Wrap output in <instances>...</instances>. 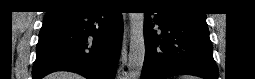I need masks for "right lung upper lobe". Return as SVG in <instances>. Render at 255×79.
Wrapping results in <instances>:
<instances>
[{
    "instance_id": "1",
    "label": "right lung upper lobe",
    "mask_w": 255,
    "mask_h": 79,
    "mask_svg": "<svg viewBox=\"0 0 255 79\" xmlns=\"http://www.w3.org/2000/svg\"><path fill=\"white\" fill-rule=\"evenodd\" d=\"M98 5L85 3L83 1H72V0H63V1H55L50 7L49 13L58 12L65 9H74V8H94Z\"/></svg>"
}]
</instances>
